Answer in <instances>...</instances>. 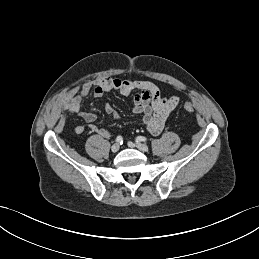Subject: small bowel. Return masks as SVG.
<instances>
[{
    "label": "small bowel",
    "instance_id": "obj_1",
    "mask_svg": "<svg viewBox=\"0 0 259 259\" xmlns=\"http://www.w3.org/2000/svg\"><path fill=\"white\" fill-rule=\"evenodd\" d=\"M109 91H117L122 95L134 93L133 112L142 115V121L147 131L154 136L161 133L167 118L179 104V97L176 95L162 97L159 86L152 81L101 77L72 87L59 105V111H68L71 114L78 115L93 133L107 138L110 136V132L95 125L97 116L94 112L81 111V102L90 93L100 97ZM104 110L112 115L114 120L119 119L118 112L110 103L104 105ZM55 120V116L52 115L49 118V123H53ZM58 123L62 124L63 120L59 119ZM83 131L82 125L75 127L77 134H81Z\"/></svg>",
    "mask_w": 259,
    "mask_h": 259
}]
</instances>
